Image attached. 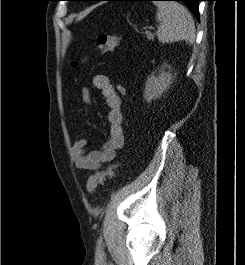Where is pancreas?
<instances>
[{
  "label": "pancreas",
  "instance_id": "cf45deb5",
  "mask_svg": "<svg viewBox=\"0 0 245 265\" xmlns=\"http://www.w3.org/2000/svg\"><path fill=\"white\" fill-rule=\"evenodd\" d=\"M147 35V38H148V40H153L154 39V36L152 35V34H146Z\"/></svg>",
  "mask_w": 245,
  "mask_h": 265
}]
</instances>
